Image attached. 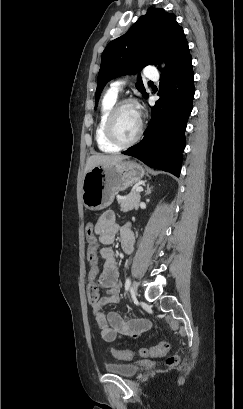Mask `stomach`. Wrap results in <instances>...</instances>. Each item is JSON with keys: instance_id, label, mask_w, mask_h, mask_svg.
Listing matches in <instances>:
<instances>
[{"instance_id": "0dacf381", "label": "stomach", "mask_w": 243, "mask_h": 409, "mask_svg": "<svg viewBox=\"0 0 243 409\" xmlns=\"http://www.w3.org/2000/svg\"><path fill=\"white\" fill-rule=\"evenodd\" d=\"M145 169L134 161H120L111 166H95L82 182V202L89 210H102L110 206L115 195L139 182Z\"/></svg>"}]
</instances>
